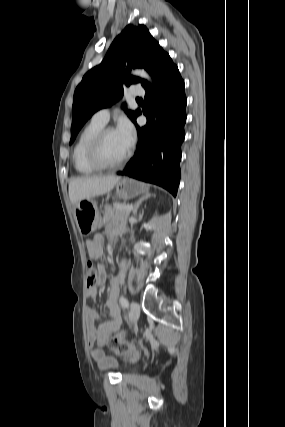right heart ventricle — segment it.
Listing matches in <instances>:
<instances>
[{"label": "right heart ventricle", "instance_id": "1", "mask_svg": "<svg viewBox=\"0 0 285 427\" xmlns=\"http://www.w3.org/2000/svg\"><path fill=\"white\" fill-rule=\"evenodd\" d=\"M105 126L92 119L80 132L74 145L72 159L75 170L82 175H92L98 171L87 160L86 152L90 141Z\"/></svg>", "mask_w": 285, "mask_h": 427}]
</instances>
